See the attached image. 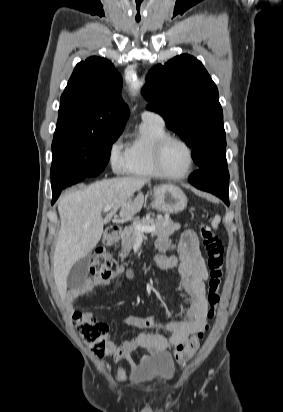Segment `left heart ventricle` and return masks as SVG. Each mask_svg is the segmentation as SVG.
<instances>
[{"mask_svg": "<svg viewBox=\"0 0 283 412\" xmlns=\"http://www.w3.org/2000/svg\"><path fill=\"white\" fill-rule=\"evenodd\" d=\"M189 162L188 152L180 143L171 142L164 149L162 166L167 173L182 174L188 169Z\"/></svg>", "mask_w": 283, "mask_h": 412, "instance_id": "1", "label": "left heart ventricle"}]
</instances>
